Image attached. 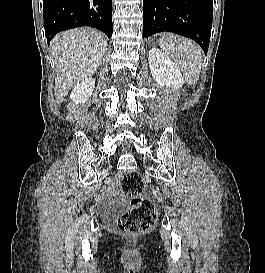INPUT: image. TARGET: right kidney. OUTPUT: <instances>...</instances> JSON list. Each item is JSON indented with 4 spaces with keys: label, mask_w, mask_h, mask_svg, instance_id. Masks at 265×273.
Here are the masks:
<instances>
[{
    "label": "right kidney",
    "mask_w": 265,
    "mask_h": 273,
    "mask_svg": "<svg viewBox=\"0 0 265 273\" xmlns=\"http://www.w3.org/2000/svg\"><path fill=\"white\" fill-rule=\"evenodd\" d=\"M95 87V79L88 77L79 82L70 94V99L75 105L83 104L90 98Z\"/></svg>",
    "instance_id": "obj_1"
}]
</instances>
